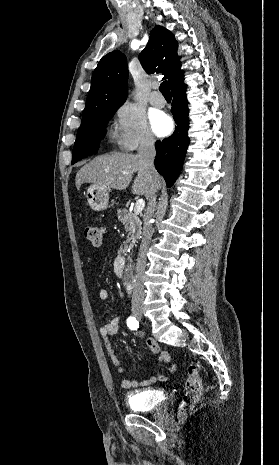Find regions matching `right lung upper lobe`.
<instances>
[{
	"mask_svg": "<svg viewBox=\"0 0 279 465\" xmlns=\"http://www.w3.org/2000/svg\"><path fill=\"white\" fill-rule=\"evenodd\" d=\"M177 48L174 35L161 26H155L147 46L139 55L144 70L147 73L163 72L171 89L184 77ZM127 80L125 55L118 50L105 55L93 72L81 126L92 122L104 110L118 109L127 97Z\"/></svg>",
	"mask_w": 279,
	"mask_h": 465,
	"instance_id": "right-lung-upper-lobe-1",
	"label": "right lung upper lobe"
}]
</instances>
